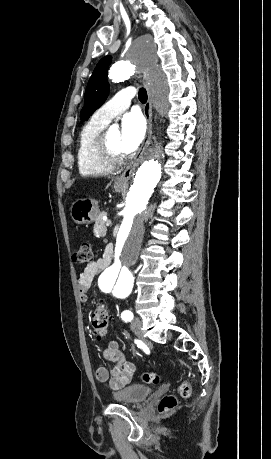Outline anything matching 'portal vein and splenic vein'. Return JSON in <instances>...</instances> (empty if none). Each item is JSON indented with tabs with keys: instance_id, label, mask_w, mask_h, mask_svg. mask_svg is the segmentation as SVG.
I'll list each match as a JSON object with an SVG mask.
<instances>
[{
	"instance_id": "obj_1",
	"label": "portal vein and splenic vein",
	"mask_w": 271,
	"mask_h": 459,
	"mask_svg": "<svg viewBox=\"0 0 271 459\" xmlns=\"http://www.w3.org/2000/svg\"><path fill=\"white\" fill-rule=\"evenodd\" d=\"M111 223H112L111 221H108L106 225H107V226H110Z\"/></svg>"
}]
</instances>
